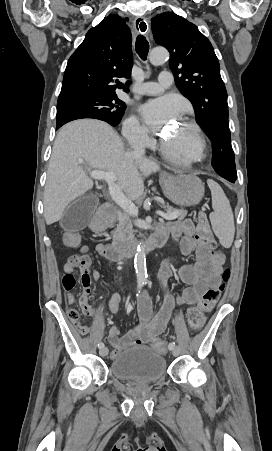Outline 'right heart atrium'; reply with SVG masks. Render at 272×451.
<instances>
[{
	"label": "right heart atrium",
	"mask_w": 272,
	"mask_h": 451,
	"mask_svg": "<svg viewBox=\"0 0 272 451\" xmlns=\"http://www.w3.org/2000/svg\"><path fill=\"white\" fill-rule=\"evenodd\" d=\"M125 130L130 140L141 141L147 137L144 127L141 125L140 121L134 116L126 120Z\"/></svg>",
	"instance_id": "right-heart-atrium-1"
}]
</instances>
